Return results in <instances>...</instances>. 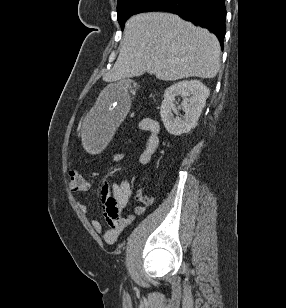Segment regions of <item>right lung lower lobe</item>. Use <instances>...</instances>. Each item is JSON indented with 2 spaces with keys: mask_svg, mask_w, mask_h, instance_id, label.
I'll return each instance as SVG.
<instances>
[{
  "mask_svg": "<svg viewBox=\"0 0 286 308\" xmlns=\"http://www.w3.org/2000/svg\"><path fill=\"white\" fill-rule=\"evenodd\" d=\"M224 2L225 0H168L153 11L174 13L184 20L211 30L223 48L226 33Z\"/></svg>",
  "mask_w": 286,
  "mask_h": 308,
  "instance_id": "98d812e1",
  "label": "right lung lower lobe"
}]
</instances>
